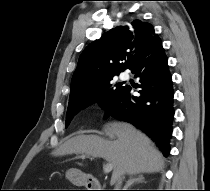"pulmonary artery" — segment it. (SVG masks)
I'll return each instance as SVG.
<instances>
[{"mask_svg":"<svg viewBox=\"0 0 210 191\" xmlns=\"http://www.w3.org/2000/svg\"><path fill=\"white\" fill-rule=\"evenodd\" d=\"M127 78V76H123V79H126Z\"/></svg>","mask_w":210,"mask_h":191,"instance_id":"1","label":"pulmonary artery"}]
</instances>
